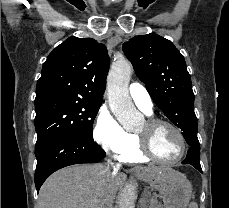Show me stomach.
<instances>
[{
	"label": "stomach",
	"instance_id": "0dacf381",
	"mask_svg": "<svg viewBox=\"0 0 229 208\" xmlns=\"http://www.w3.org/2000/svg\"><path fill=\"white\" fill-rule=\"evenodd\" d=\"M138 178L160 192L164 208H187L189 206L192 186L184 174L169 178L164 172H158V174H138Z\"/></svg>",
	"mask_w": 229,
	"mask_h": 208
}]
</instances>
